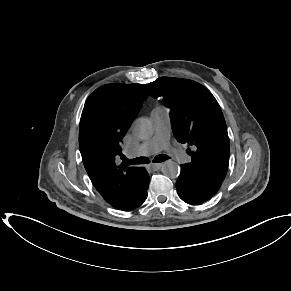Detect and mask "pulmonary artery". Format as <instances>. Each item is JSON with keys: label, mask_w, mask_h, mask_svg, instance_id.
Segmentation results:
<instances>
[{"label": "pulmonary artery", "mask_w": 291, "mask_h": 291, "mask_svg": "<svg viewBox=\"0 0 291 291\" xmlns=\"http://www.w3.org/2000/svg\"><path fill=\"white\" fill-rule=\"evenodd\" d=\"M154 124L153 135L145 140L136 151L127 152V156H149L161 150H165L169 156L177 162H186L187 154L170 145V116L167 110L161 109L151 113Z\"/></svg>", "instance_id": "pulmonary-artery-1"}]
</instances>
